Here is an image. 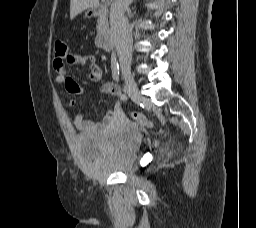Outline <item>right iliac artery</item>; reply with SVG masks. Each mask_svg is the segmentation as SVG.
Returning a JSON list of instances; mask_svg holds the SVG:
<instances>
[{
  "label": "right iliac artery",
  "instance_id": "obj_1",
  "mask_svg": "<svg viewBox=\"0 0 256 228\" xmlns=\"http://www.w3.org/2000/svg\"><path fill=\"white\" fill-rule=\"evenodd\" d=\"M121 100L122 101H127L128 100V96L125 93L121 94Z\"/></svg>",
  "mask_w": 256,
  "mask_h": 228
}]
</instances>
